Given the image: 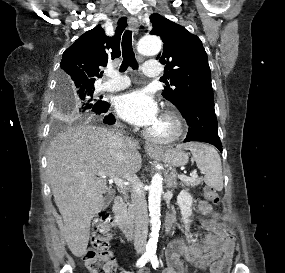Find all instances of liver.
<instances>
[{
    "label": "liver",
    "mask_w": 285,
    "mask_h": 273,
    "mask_svg": "<svg viewBox=\"0 0 285 273\" xmlns=\"http://www.w3.org/2000/svg\"><path fill=\"white\" fill-rule=\"evenodd\" d=\"M110 142L111 134L107 129L83 124L58 134L48 148L47 172L64 222L61 230L76 257L86 253L91 220L104 206L107 182L97 172L126 178L141 168L136 142L123 140L121 162Z\"/></svg>",
    "instance_id": "1"
}]
</instances>
